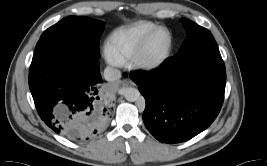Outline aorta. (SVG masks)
Masks as SVG:
<instances>
[{"mask_svg": "<svg viewBox=\"0 0 267 166\" xmlns=\"http://www.w3.org/2000/svg\"><path fill=\"white\" fill-rule=\"evenodd\" d=\"M124 96L127 101L129 102H135L139 100L140 98V92L137 88L134 87H128L124 91Z\"/></svg>", "mask_w": 267, "mask_h": 166, "instance_id": "obj_1", "label": "aorta"}]
</instances>
